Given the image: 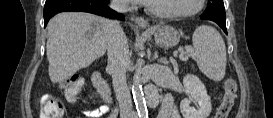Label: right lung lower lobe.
<instances>
[{
  "mask_svg": "<svg viewBox=\"0 0 273 118\" xmlns=\"http://www.w3.org/2000/svg\"><path fill=\"white\" fill-rule=\"evenodd\" d=\"M109 2L110 0H46L44 6V27L55 14L67 11L88 12L124 20V15L108 7Z\"/></svg>",
  "mask_w": 273,
  "mask_h": 118,
  "instance_id": "obj_1",
  "label": "right lung lower lobe"
}]
</instances>
